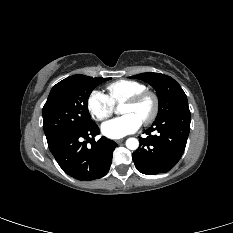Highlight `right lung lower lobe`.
I'll use <instances>...</instances> for the list:
<instances>
[{"mask_svg":"<svg viewBox=\"0 0 233 233\" xmlns=\"http://www.w3.org/2000/svg\"><path fill=\"white\" fill-rule=\"evenodd\" d=\"M96 123L83 130L65 131L47 139L48 147L59 166L80 180H94L107 174L117 144L102 137ZM90 143V145L88 144Z\"/></svg>","mask_w":233,"mask_h":233,"instance_id":"1","label":"right lung lower lobe"}]
</instances>
